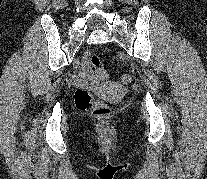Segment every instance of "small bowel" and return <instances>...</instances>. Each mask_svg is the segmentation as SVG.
Here are the masks:
<instances>
[{"mask_svg":"<svg viewBox=\"0 0 207 179\" xmlns=\"http://www.w3.org/2000/svg\"><path fill=\"white\" fill-rule=\"evenodd\" d=\"M91 55L90 51L84 53L78 75L73 78V82L78 86L96 88L101 81L89 62Z\"/></svg>","mask_w":207,"mask_h":179,"instance_id":"1","label":"small bowel"}]
</instances>
